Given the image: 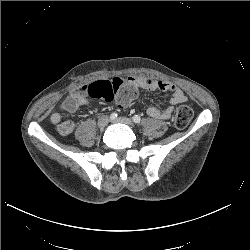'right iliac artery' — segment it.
<instances>
[{
	"mask_svg": "<svg viewBox=\"0 0 250 250\" xmlns=\"http://www.w3.org/2000/svg\"><path fill=\"white\" fill-rule=\"evenodd\" d=\"M110 118H111V119H115V118H117V113H115V112H114V113H112V114L110 115Z\"/></svg>",
	"mask_w": 250,
	"mask_h": 250,
	"instance_id": "1",
	"label": "right iliac artery"
}]
</instances>
